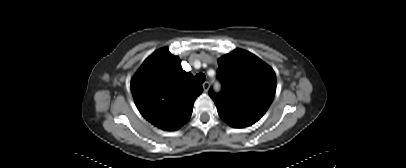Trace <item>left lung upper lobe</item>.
Returning <instances> with one entry per match:
<instances>
[{
  "label": "left lung upper lobe",
  "instance_id": "left-lung-upper-lobe-1",
  "mask_svg": "<svg viewBox=\"0 0 406 168\" xmlns=\"http://www.w3.org/2000/svg\"><path fill=\"white\" fill-rule=\"evenodd\" d=\"M223 92L209 94L221 118L254 124L269 108L276 91L273 69L257 56L241 49L218 60Z\"/></svg>",
  "mask_w": 406,
  "mask_h": 168
}]
</instances>
